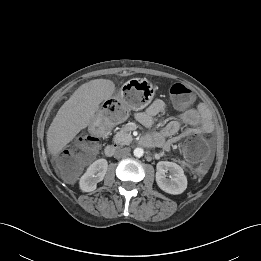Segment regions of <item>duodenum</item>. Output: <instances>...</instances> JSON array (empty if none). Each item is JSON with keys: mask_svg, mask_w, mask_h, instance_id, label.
Instances as JSON below:
<instances>
[{"mask_svg": "<svg viewBox=\"0 0 261 261\" xmlns=\"http://www.w3.org/2000/svg\"><path fill=\"white\" fill-rule=\"evenodd\" d=\"M143 144H145L146 146H150L152 145V140L150 138H144L143 139ZM116 152V147L115 145H107L104 149V153L106 156L108 157H112Z\"/></svg>", "mask_w": 261, "mask_h": 261, "instance_id": "duodenum-1", "label": "duodenum"}]
</instances>
